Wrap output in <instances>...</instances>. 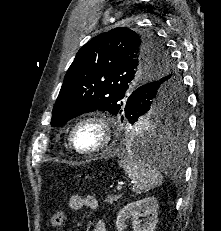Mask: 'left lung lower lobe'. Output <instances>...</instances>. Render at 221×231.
I'll use <instances>...</instances> for the list:
<instances>
[{"instance_id":"1","label":"left lung lower lobe","mask_w":221,"mask_h":231,"mask_svg":"<svg viewBox=\"0 0 221 231\" xmlns=\"http://www.w3.org/2000/svg\"><path fill=\"white\" fill-rule=\"evenodd\" d=\"M181 89L184 94L183 87H181ZM140 94H141V90L136 89L131 93V95L128 98V101L130 100L131 104L133 102L134 104H136L139 100H141ZM178 101L179 99L177 100V102ZM138 114L136 115L133 111L131 116L127 117L128 121L131 124L135 123L138 120ZM182 125L183 126L185 125V121ZM182 134L183 133H181V129L178 130L177 134H173L169 136L159 135L157 131L147 130L142 133L140 132L128 133L127 138L130 139L132 143L142 147L143 152L145 154L147 152H150L149 154H151L152 151L153 156L149 157L150 161H153L158 164L160 163L165 164L161 159L154 157L155 152L156 153L162 152L163 155L166 156L167 158V163L172 162L174 159L175 161L178 160L185 151V142Z\"/></svg>"}]
</instances>
